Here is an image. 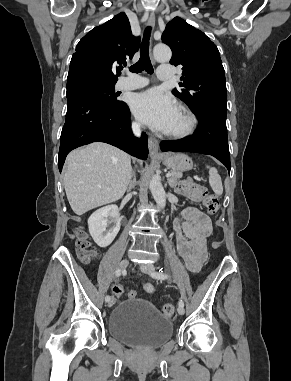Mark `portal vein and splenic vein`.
Segmentation results:
<instances>
[{
	"instance_id": "18ae733b",
	"label": "portal vein and splenic vein",
	"mask_w": 291,
	"mask_h": 381,
	"mask_svg": "<svg viewBox=\"0 0 291 381\" xmlns=\"http://www.w3.org/2000/svg\"><path fill=\"white\" fill-rule=\"evenodd\" d=\"M166 177H167V178H170V177H171V173H167V174H166Z\"/></svg>"
}]
</instances>
